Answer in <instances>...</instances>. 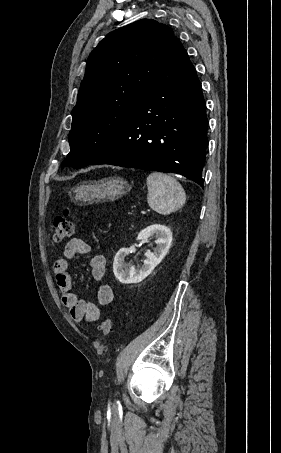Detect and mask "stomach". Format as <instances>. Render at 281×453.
I'll use <instances>...</instances> for the list:
<instances>
[{
  "instance_id": "1",
  "label": "stomach",
  "mask_w": 281,
  "mask_h": 453,
  "mask_svg": "<svg viewBox=\"0 0 281 453\" xmlns=\"http://www.w3.org/2000/svg\"><path fill=\"white\" fill-rule=\"evenodd\" d=\"M129 188L127 180L120 176L102 178V180H91L81 182L73 186L70 196L74 202H100V200H116L122 194H126Z\"/></svg>"
}]
</instances>
